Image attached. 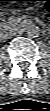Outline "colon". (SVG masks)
<instances>
[{
	"mask_svg": "<svg viewBox=\"0 0 50 111\" xmlns=\"http://www.w3.org/2000/svg\"><path fill=\"white\" fill-rule=\"evenodd\" d=\"M44 7H45L46 10H48V9H50V4L49 3H45Z\"/></svg>",
	"mask_w": 50,
	"mask_h": 111,
	"instance_id": "colon-1",
	"label": "colon"
}]
</instances>
